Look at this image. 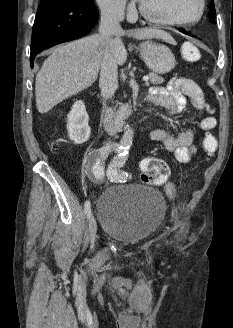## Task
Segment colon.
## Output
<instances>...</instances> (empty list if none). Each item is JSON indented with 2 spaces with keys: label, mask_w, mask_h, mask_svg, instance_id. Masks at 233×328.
Returning a JSON list of instances; mask_svg holds the SVG:
<instances>
[{
  "label": "colon",
  "mask_w": 233,
  "mask_h": 328,
  "mask_svg": "<svg viewBox=\"0 0 233 328\" xmlns=\"http://www.w3.org/2000/svg\"><path fill=\"white\" fill-rule=\"evenodd\" d=\"M183 56L188 61H197L200 58L199 50L191 43H186L182 49ZM58 146V142L54 147ZM217 148V140L213 135H207L203 141L206 159H210ZM142 181L147 184L161 185L169 177V167L161 159L149 157L141 162Z\"/></svg>",
  "instance_id": "colon-1"
}]
</instances>
